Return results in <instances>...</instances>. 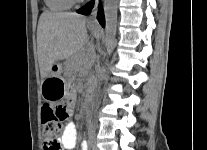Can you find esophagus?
Here are the masks:
<instances>
[{
    "instance_id": "34e87169",
    "label": "esophagus",
    "mask_w": 207,
    "mask_h": 150,
    "mask_svg": "<svg viewBox=\"0 0 207 150\" xmlns=\"http://www.w3.org/2000/svg\"><path fill=\"white\" fill-rule=\"evenodd\" d=\"M101 0H95L94 1V7L88 17V22L92 24H97V13H98V6L100 4Z\"/></svg>"
}]
</instances>
